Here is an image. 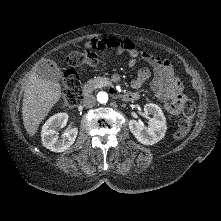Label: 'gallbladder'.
Wrapping results in <instances>:
<instances>
[{
	"label": "gallbladder",
	"instance_id": "gallbladder-1",
	"mask_svg": "<svg viewBox=\"0 0 221 221\" xmlns=\"http://www.w3.org/2000/svg\"><path fill=\"white\" fill-rule=\"evenodd\" d=\"M52 66L49 69L39 68L37 75L45 80H50L53 82H58L63 79L62 71L57 67L56 64L51 63Z\"/></svg>",
	"mask_w": 221,
	"mask_h": 221
}]
</instances>
